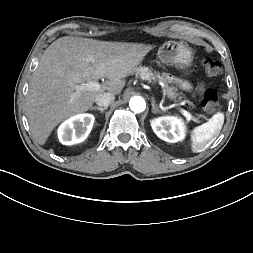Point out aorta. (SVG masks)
<instances>
[{
  "mask_svg": "<svg viewBox=\"0 0 253 253\" xmlns=\"http://www.w3.org/2000/svg\"><path fill=\"white\" fill-rule=\"evenodd\" d=\"M130 109L135 113H141L146 108L145 100L140 96H134L129 102Z\"/></svg>",
  "mask_w": 253,
  "mask_h": 253,
  "instance_id": "1",
  "label": "aorta"
}]
</instances>
